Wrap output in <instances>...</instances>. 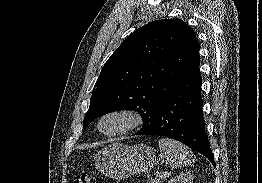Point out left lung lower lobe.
<instances>
[{
    "label": "left lung lower lobe",
    "instance_id": "obj_1",
    "mask_svg": "<svg viewBox=\"0 0 262 183\" xmlns=\"http://www.w3.org/2000/svg\"><path fill=\"white\" fill-rule=\"evenodd\" d=\"M200 59L188 70L174 91L160 104L148 127L137 135L176 139L207 157L215 166L202 114Z\"/></svg>",
    "mask_w": 262,
    "mask_h": 183
}]
</instances>
